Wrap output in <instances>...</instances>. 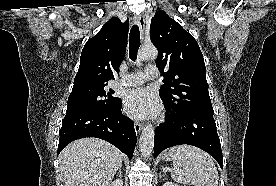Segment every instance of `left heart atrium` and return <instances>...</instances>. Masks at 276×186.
<instances>
[{
    "label": "left heart atrium",
    "instance_id": "1",
    "mask_svg": "<svg viewBox=\"0 0 276 186\" xmlns=\"http://www.w3.org/2000/svg\"><path fill=\"white\" fill-rule=\"evenodd\" d=\"M125 112L137 119L154 116L158 110V102L154 94L146 88L129 90L124 98Z\"/></svg>",
    "mask_w": 276,
    "mask_h": 186
}]
</instances>
